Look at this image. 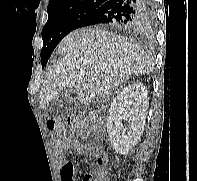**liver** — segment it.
<instances>
[{"label": "liver", "instance_id": "liver-1", "mask_svg": "<svg viewBox=\"0 0 197 181\" xmlns=\"http://www.w3.org/2000/svg\"><path fill=\"white\" fill-rule=\"evenodd\" d=\"M58 52L63 58L51 67L40 92L42 109L68 87L75 88L80 102L104 98L129 76L149 73L154 66L138 43L97 28L69 33Z\"/></svg>", "mask_w": 197, "mask_h": 181}]
</instances>
